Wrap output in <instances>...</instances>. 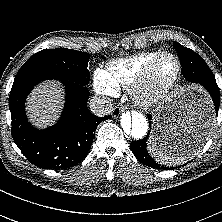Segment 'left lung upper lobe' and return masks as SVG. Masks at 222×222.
<instances>
[{"label": "left lung upper lobe", "instance_id": "left-lung-upper-lobe-1", "mask_svg": "<svg viewBox=\"0 0 222 222\" xmlns=\"http://www.w3.org/2000/svg\"><path fill=\"white\" fill-rule=\"evenodd\" d=\"M175 49L179 53V59L181 58H192L194 61L198 62V64L202 67V69L208 73V79H211L212 81H216L215 77L210 70L209 66L206 64V62L202 59L201 56H199L196 52L193 50L184 47L183 45L179 44L178 42H174Z\"/></svg>", "mask_w": 222, "mask_h": 222}]
</instances>
